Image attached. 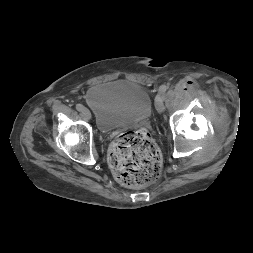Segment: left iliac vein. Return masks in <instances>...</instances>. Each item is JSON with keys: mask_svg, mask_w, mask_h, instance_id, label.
<instances>
[{"mask_svg": "<svg viewBox=\"0 0 253 253\" xmlns=\"http://www.w3.org/2000/svg\"><path fill=\"white\" fill-rule=\"evenodd\" d=\"M155 107L158 112H162L164 109L163 99L161 95H157L155 99Z\"/></svg>", "mask_w": 253, "mask_h": 253, "instance_id": "4c4485c4", "label": "left iliac vein"}]
</instances>
